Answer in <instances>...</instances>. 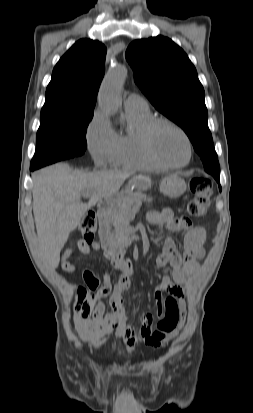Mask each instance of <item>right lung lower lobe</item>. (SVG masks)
<instances>
[{
	"label": "right lung lower lobe",
	"instance_id": "right-lung-lower-lobe-1",
	"mask_svg": "<svg viewBox=\"0 0 253 413\" xmlns=\"http://www.w3.org/2000/svg\"><path fill=\"white\" fill-rule=\"evenodd\" d=\"M36 169H38V168H30L31 171H34V170H36Z\"/></svg>",
	"mask_w": 253,
	"mask_h": 413
}]
</instances>
